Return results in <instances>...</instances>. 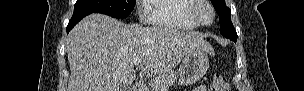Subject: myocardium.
I'll return each instance as SVG.
<instances>
[{
  "mask_svg": "<svg viewBox=\"0 0 304 91\" xmlns=\"http://www.w3.org/2000/svg\"><path fill=\"white\" fill-rule=\"evenodd\" d=\"M192 7L189 11L191 19L200 26H210L215 18V10L213 6L211 5L210 1L207 0H191ZM207 8L210 11L211 19L208 22L203 21L200 18L199 12L203 9Z\"/></svg>",
  "mask_w": 304,
  "mask_h": 91,
  "instance_id": "obj_1",
  "label": "myocardium"
}]
</instances>
